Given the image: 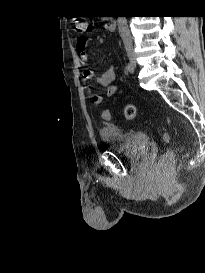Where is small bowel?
Returning <instances> with one entry per match:
<instances>
[{"label":"small bowel","mask_w":205,"mask_h":273,"mask_svg":"<svg viewBox=\"0 0 205 273\" xmlns=\"http://www.w3.org/2000/svg\"><path fill=\"white\" fill-rule=\"evenodd\" d=\"M93 41H94L93 39H89L85 36H78L76 38L75 49L79 54V59H78L79 66H84L87 63L88 54L86 49L88 44ZM93 77H94V72L89 69L83 71L81 74V79L85 83L90 82L93 79ZM114 79H115V68L113 66H109L106 72L98 80L101 85L107 87L106 94L108 97L114 96L118 91V87L116 85H112V82L114 81ZM91 99H92V103L95 106H100L103 103V97L97 93H92ZM102 117H103V112H102Z\"/></svg>","instance_id":"1"}]
</instances>
